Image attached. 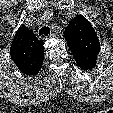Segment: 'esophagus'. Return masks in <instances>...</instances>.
<instances>
[{"mask_svg": "<svg viewBox=\"0 0 113 113\" xmlns=\"http://www.w3.org/2000/svg\"><path fill=\"white\" fill-rule=\"evenodd\" d=\"M53 37H55V35L54 34H50L49 36H46L43 39L44 40H48V39L53 38Z\"/></svg>", "mask_w": 113, "mask_h": 113, "instance_id": "obj_1", "label": "esophagus"}]
</instances>
